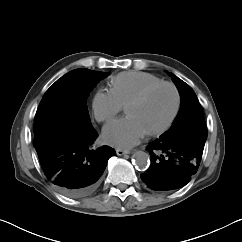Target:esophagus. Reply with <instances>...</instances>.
<instances>
[{
	"mask_svg": "<svg viewBox=\"0 0 242 242\" xmlns=\"http://www.w3.org/2000/svg\"><path fill=\"white\" fill-rule=\"evenodd\" d=\"M131 151L129 150H124V149H116V154L121 156V155H125V154H130Z\"/></svg>",
	"mask_w": 242,
	"mask_h": 242,
	"instance_id": "34e87169",
	"label": "esophagus"
}]
</instances>
